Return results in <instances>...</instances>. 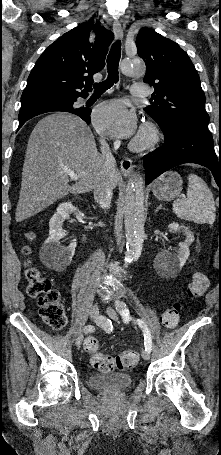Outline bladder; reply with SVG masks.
Returning <instances> with one entry per match:
<instances>
[{
  "label": "bladder",
  "mask_w": 221,
  "mask_h": 455,
  "mask_svg": "<svg viewBox=\"0 0 221 455\" xmlns=\"http://www.w3.org/2000/svg\"><path fill=\"white\" fill-rule=\"evenodd\" d=\"M88 385L91 389L119 392L127 390L132 385V377L127 373H93L88 378Z\"/></svg>",
  "instance_id": "1"
}]
</instances>
